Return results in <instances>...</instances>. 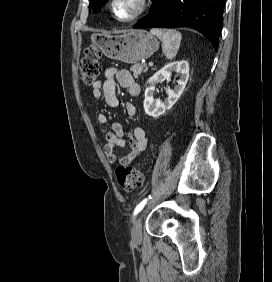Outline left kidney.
I'll return each instance as SVG.
<instances>
[{"mask_svg": "<svg viewBox=\"0 0 272 282\" xmlns=\"http://www.w3.org/2000/svg\"><path fill=\"white\" fill-rule=\"evenodd\" d=\"M172 72L180 73V79L177 81L174 89L166 88L168 94L167 99L161 102L159 99H154L156 84L168 80ZM189 78V63L185 60L175 61L165 65L150 77L146 83L144 110L149 116L157 118L163 115L166 110H169L180 98Z\"/></svg>", "mask_w": 272, "mask_h": 282, "instance_id": "obj_1", "label": "left kidney"}]
</instances>
